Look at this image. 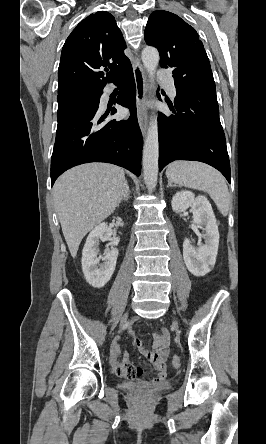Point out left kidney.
I'll use <instances>...</instances> for the list:
<instances>
[{"instance_id": "left-kidney-1", "label": "left kidney", "mask_w": 266, "mask_h": 444, "mask_svg": "<svg viewBox=\"0 0 266 444\" xmlns=\"http://www.w3.org/2000/svg\"><path fill=\"white\" fill-rule=\"evenodd\" d=\"M172 209L175 213L192 208L193 221L205 231L202 237L205 244L198 249L186 238L183 242V258L187 269L194 276L200 277L209 273L215 265L219 246L218 224L211 204L205 196L190 191H179L172 198Z\"/></svg>"}]
</instances>
